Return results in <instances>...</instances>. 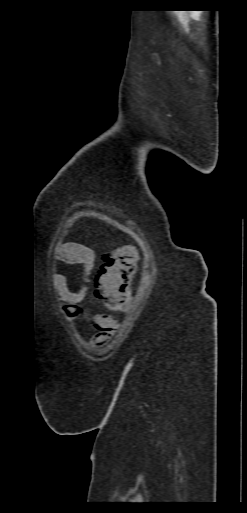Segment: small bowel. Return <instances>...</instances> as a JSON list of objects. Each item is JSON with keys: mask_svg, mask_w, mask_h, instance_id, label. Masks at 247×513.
<instances>
[{"mask_svg": "<svg viewBox=\"0 0 247 513\" xmlns=\"http://www.w3.org/2000/svg\"><path fill=\"white\" fill-rule=\"evenodd\" d=\"M58 260L67 264H82L86 274H89L93 266L92 254L76 243H66L61 246L58 250ZM51 279L58 297L64 303L62 308L64 314L71 320L87 315L81 305L87 297V288L82 287L78 291H73L69 286L67 276L62 273L52 274ZM93 321H95L98 333L93 338L92 345L96 348L104 347L116 332L117 319L101 315L94 317Z\"/></svg>", "mask_w": 247, "mask_h": 513, "instance_id": "small-bowel-1", "label": "small bowel"}]
</instances>
